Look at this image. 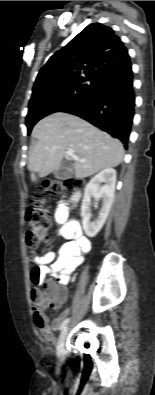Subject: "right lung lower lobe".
I'll return each instance as SVG.
<instances>
[{"instance_id":"1","label":"right lung lower lobe","mask_w":155,"mask_h":395,"mask_svg":"<svg viewBox=\"0 0 155 395\" xmlns=\"http://www.w3.org/2000/svg\"><path fill=\"white\" fill-rule=\"evenodd\" d=\"M135 107L132 67L106 74L98 88L63 111L120 139L127 148Z\"/></svg>"}]
</instances>
